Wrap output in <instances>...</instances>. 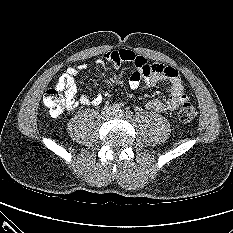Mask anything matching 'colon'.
I'll return each instance as SVG.
<instances>
[{
    "label": "colon",
    "instance_id": "colon-1",
    "mask_svg": "<svg viewBox=\"0 0 233 233\" xmlns=\"http://www.w3.org/2000/svg\"><path fill=\"white\" fill-rule=\"evenodd\" d=\"M44 106L53 116L60 115L68 104L67 97L62 93L60 88L53 87L48 89L43 97ZM196 115V110L189 102H184L178 111L180 121L190 122Z\"/></svg>",
    "mask_w": 233,
    "mask_h": 233
}]
</instances>
